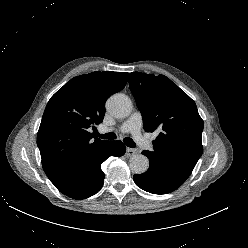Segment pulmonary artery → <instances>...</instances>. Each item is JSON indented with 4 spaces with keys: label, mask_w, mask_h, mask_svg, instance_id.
Segmentation results:
<instances>
[{
    "label": "pulmonary artery",
    "mask_w": 248,
    "mask_h": 248,
    "mask_svg": "<svg viewBox=\"0 0 248 248\" xmlns=\"http://www.w3.org/2000/svg\"><path fill=\"white\" fill-rule=\"evenodd\" d=\"M142 116L139 112H134L119 128L123 133H131L135 140L143 147H148L149 143L141 133ZM108 129L104 126L99 128V131L104 133Z\"/></svg>",
    "instance_id": "1"
}]
</instances>
